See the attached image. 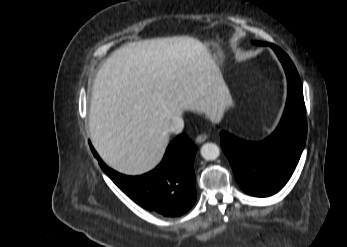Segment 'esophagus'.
Wrapping results in <instances>:
<instances>
[{
  "label": "esophagus",
  "instance_id": "esophagus-1",
  "mask_svg": "<svg viewBox=\"0 0 347 247\" xmlns=\"http://www.w3.org/2000/svg\"><path fill=\"white\" fill-rule=\"evenodd\" d=\"M207 138H208V136H207L206 134H199V135L196 137V143L201 144V143H203L204 141H206Z\"/></svg>",
  "mask_w": 347,
  "mask_h": 247
}]
</instances>
